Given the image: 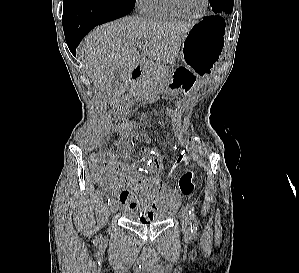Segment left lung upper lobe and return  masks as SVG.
I'll use <instances>...</instances> for the list:
<instances>
[{"instance_id":"1","label":"left lung upper lobe","mask_w":299,"mask_h":273,"mask_svg":"<svg viewBox=\"0 0 299 273\" xmlns=\"http://www.w3.org/2000/svg\"><path fill=\"white\" fill-rule=\"evenodd\" d=\"M234 0H210L214 13H221L224 10L233 9Z\"/></svg>"}]
</instances>
